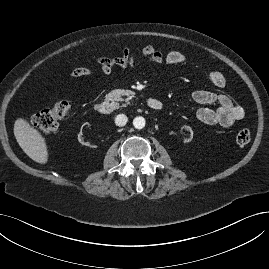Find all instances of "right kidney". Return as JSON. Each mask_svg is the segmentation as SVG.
<instances>
[{"label":"right kidney","instance_id":"right-kidney-1","mask_svg":"<svg viewBox=\"0 0 269 269\" xmlns=\"http://www.w3.org/2000/svg\"><path fill=\"white\" fill-rule=\"evenodd\" d=\"M85 125H89L88 122L84 123L81 127V131L80 133L78 134V140L81 144L83 145H87V147L90 149V150H93L95 147H96V144L93 142V141H90L89 140H84L83 141V138H82V128L85 126Z\"/></svg>","mask_w":269,"mask_h":269}]
</instances>
